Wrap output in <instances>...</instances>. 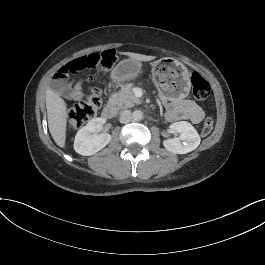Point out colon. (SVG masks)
Masks as SVG:
<instances>
[{"label":"colon","instance_id":"obj_1","mask_svg":"<svg viewBox=\"0 0 265 265\" xmlns=\"http://www.w3.org/2000/svg\"><path fill=\"white\" fill-rule=\"evenodd\" d=\"M116 62L114 50H106L99 53H91L77 58L65 66L61 67L56 73V79H66L72 74L84 69H95L99 73L110 70ZM192 94L198 101L206 100L211 88L209 83L197 72L191 74ZM102 106V93L98 87H92L90 93L84 100L75 104L69 111V123L73 128L83 126L87 121L96 116ZM214 127V119L207 117L202 125L201 132L208 135Z\"/></svg>","mask_w":265,"mask_h":265}]
</instances>
